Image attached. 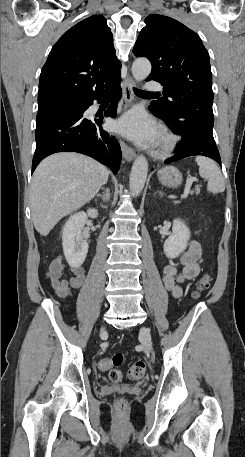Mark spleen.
I'll return each instance as SVG.
<instances>
[{
    "instance_id": "spleen-1",
    "label": "spleen",
    "mask_w": 245,
    "mask_h": 457,
    "mask_svg": "<svg viewBox=\"0 0 245 457\" xmlns=\"http://www.w3.org/2000/svg\"><path fill=\"white\" fill-rule=\"evenodd\" d=\"M197 164H199V174L203 178H208L207 190L209 192H223L225 190V182L222 172L216 162L208 156H195Z\"/></svg>"
}]
</instances>
